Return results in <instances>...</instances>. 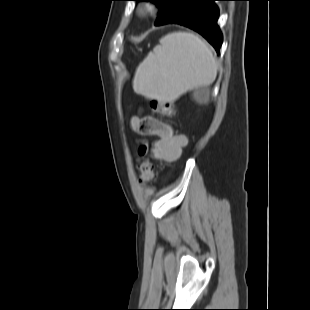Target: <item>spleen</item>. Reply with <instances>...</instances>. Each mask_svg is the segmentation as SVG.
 <instances>
[{
    "label": "spleen",
    "instance_id": "spleen-1",
    "mask_svg": "<svg viewBox=\"0 0 310 310\" xmlns=\"http://www.w3.org/2000/svg\"><path fill=\"white\" fill-rule=\"evenodd\" d=\"M216 59L207 43L189 32H174L138 66L133 89L149 99L173 102L187 91L211 85Z\"/></svg>",
    "mask_w": 310,
    "mask_h": 310
}]
</instances>
